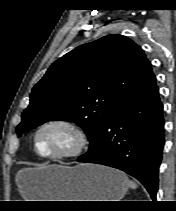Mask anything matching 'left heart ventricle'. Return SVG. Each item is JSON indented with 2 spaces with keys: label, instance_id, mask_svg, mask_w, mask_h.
<instances>
[{
  "label": "left heart ventricle",
  "instance_id": "1",
  "mask_svg": "<svg viewBox=\"0 0 176 211\" xmlns=\"http://www.w3.org/2000/svg\"><path fill=\"white\" fill-rule=\"evenodd\" d=\"M73 144V137L60 127L42 131L37 139L38 150L43 154L65 152L70 150Z\"/></svg>",
  "mask_w": 176,
  "mask_h": 211
}]
</instances>
